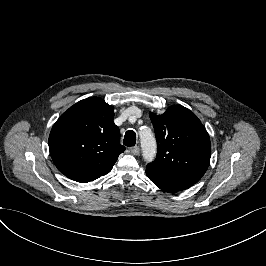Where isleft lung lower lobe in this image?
<instances>
[{
  "label": "left lung lower lobe",
  "instance_id": "1",
  "mask_svg": "<svg viewBox=\"0 0 266 266\" xmlns=\"http://www.w3.org/2000/svg\"><path fill=\"white\" fill-rule=\"evenodd\" d=\"M148 178L156 185L158 186L160 189H162L163 191L169 192V193H173V192H177V191H181V190H185L186 187L178 185V184H174L171 183L169 181H166L160 177H157L155 175L152 174H148L146 173Z\"/></svg>",
  "mask_w": 266,
  "mask_h": 266
}]
</instances>
